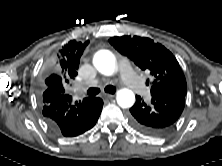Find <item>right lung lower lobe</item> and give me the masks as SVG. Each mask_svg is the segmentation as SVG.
<instances>
[{"instance_id":"right-lung-lower-lobe-1","label":"right lung lower lobe","mask_w":222,"mask_h":166,"mask_svg":"<svg viewBox=\"0 0 222 166\" xmlns=\"http://www.w3.org/2000/svg\"><path fill=\"white\" fill-rule=\"evenodd\" d=\"M41 103L48 127L64 137L78 136L91 129L103 107L100 98H85L74 103L70 95L53 88L44 90Z\"/></svg>"}]
</instances>
